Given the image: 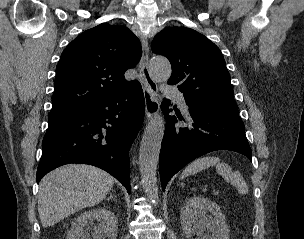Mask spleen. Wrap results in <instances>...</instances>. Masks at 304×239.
Instances as JSON below:
<instances>
[{
	"instance_id": "obj_1",
	"label": "spleen",
	"mask_w": 304,
	"mask_h": 239,
	"mask_svg": "<svg viewBox=\"0 0 304 239\" xmlns=\"http://www.w3.org/2000/svg\"><path fill=\"white\" fill-rule=\"evenodd\" d=\"M213 166H215L218 174H220L226 182H230L232 185L237 186L239 194L248 193V186L240 172L232 171V168L228 164L222 162L218 157H202L191 162L183 170L181 178L197 174L198 172Z\"/></svg>"
}]
</instances>
